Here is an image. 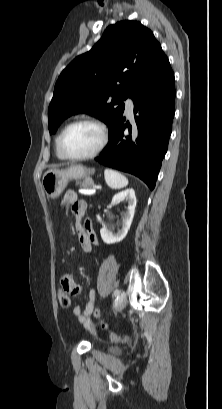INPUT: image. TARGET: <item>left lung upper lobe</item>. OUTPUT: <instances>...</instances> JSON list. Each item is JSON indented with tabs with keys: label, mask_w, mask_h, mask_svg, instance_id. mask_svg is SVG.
I'll return each mask as SVG.
<instances>
[{
	"label": "left lung upper lobe",
	"mask_w": 222,
	"mask_h": 409,
	"mask_svg": "<svg viewBox=\"0 0 222 409\" xmlns=\"http://www.w3.org/2000/svg\"><path fill=\"white\" fill-rule=\"evenodd\" d=\"M171 69L151 30L137 21L109 26L93 48L76 57L60 74L48 109L55 133L69 116L87 112L109 129L123 113V101Z\"/></svg>",
	"instance_id": "1"
}]
</instances>
